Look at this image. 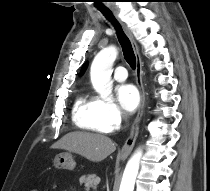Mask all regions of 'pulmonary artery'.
<instances>
[{
	"label": "pulmonary artery",
	"instance_id": "pulmonary-artery-1",
	"mask_svg": "<svg viewBox=\"0 0 210 191\" xmlns=\"http://www.w3.org/2000/svg\"><path fill=\"white\" fill-rule=\"evenodd\" d=\"M127 70L125 67L123 66H118L115 68L114 70V78L115 80L122 82L125 81L127 79Z\"/></svg>",
	"mask_w": 210,
	"mask_h": 191
}]
</instances>
